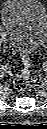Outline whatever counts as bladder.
<instances>
[{
    "mask_svg": "<svg viewBox=\"0 0 47 129\" xmlns=\"http://www.w3.org/2000/svg\"><path fill=\"white\" fill-rule=\"evenodd\" d=\"M2 27L11 45L31 54L47 37V13L39 0H6L1 12Z\"/></svg>",
    "mask_w": 47,
    "mask_h": 129,
    "instance_id": "bladder-1",
    "label": "bladder"
}]
</instances>
